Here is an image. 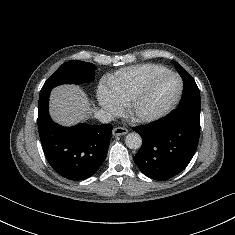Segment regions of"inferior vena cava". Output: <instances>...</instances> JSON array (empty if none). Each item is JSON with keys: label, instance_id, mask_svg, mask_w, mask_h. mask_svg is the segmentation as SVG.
<instances>
[{"label": "inferior vena cava", "instance_id": "obj_1", "mask_svg": "<svg viewBox=\"0 0 235 235\" xmlns=\"http://www.w3.org/2000/svg\"><path fill=\"white\" fill-rule=\"evenodd\" d=\"M96 119H98L102 123H109L113 120V116L110 112L99 110L95 113Z\"/></svg>", "mask_w": 235, "mask_h": 235}]
</instances>
